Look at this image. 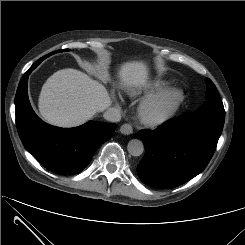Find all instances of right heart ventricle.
Instances as JSON below:
<instances>
[{
	"label": "right heart ventricle",
	"mask_w": 245,
	"mask_h": 245,
	"mask_svg": "<svg viewBox=\"0 0 245 245\" xmlns=\"http://www.w3.org/2000/svg\"><path fill=\"white\" fill-rule=\"evenodd\" d=\"M167 87V83L163 81H156L152 83L147 90L144 92V94L152 95V94H159L162 93Z\"/></svg>",
	"instance_id": "e07e8e85"
}]
</instances>
